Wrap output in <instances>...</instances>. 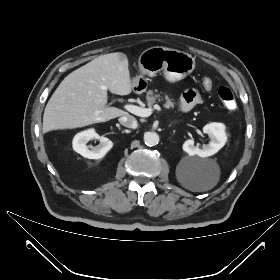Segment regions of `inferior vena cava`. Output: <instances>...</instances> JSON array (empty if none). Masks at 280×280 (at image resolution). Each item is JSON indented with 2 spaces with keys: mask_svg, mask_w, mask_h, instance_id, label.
<instances>
[{
  "mask_svg": "<svg viewBox=\"0 0 280 280\" xmlns=\"http://www.w3.org/2000/svg\"><path fill=\"white\" fill-rule=\"evenodd\" d=\"M119 122L128 128H137L138 126V122L136 120L135 117H133L132 115H125V116H121L119 118Z\"/></svg>",
  "mask_w": 280,
  "mask_h": 280,
  "instance_id": "obj_1",
  "label": "inferior vena cava"
}]
</instances>
